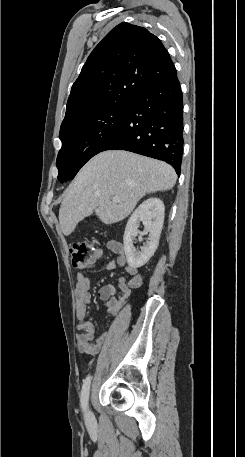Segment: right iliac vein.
I'll list each match as a JSON object with an SVG mask.
<instances>
[{
	"label": "right iliac vein",
	"mask_w": 245,
	"mask_h": 457,
	"mask_svg": "<svg viewBox=\"0 0 245 457\" xmlns=\"http://www.w3.org/2000/svg\"><path fill=\"white\" fill-rule=\"evenodd\" d=\"M85 420L87 423H92L94 421V415L89 408L85 409Z\"/></svg>",
	"instance_id": "1"
}]
</instances>
